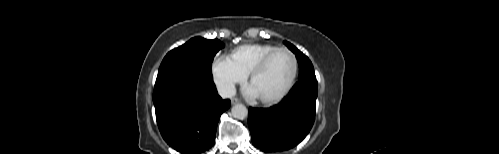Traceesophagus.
Returning <instances> with one entry per match:
<instances>
[{
  "mask_svg": "<svg viewBox=\"0 0 499 154\" xmlns=\"http://www.w3.org/2000/svg\"><path fill=\"white\" fill-rule=\"evenodd\" d=\"M239 102H240V100H239L238 98H232V99H231V104H232V105L237 104V103H239Z\"/></svg>",
  "mask_w": 499,
  "mask_h": 154,
  "instance_id": "34e87169",
  "label": "esophagus"
}]
</instances>
